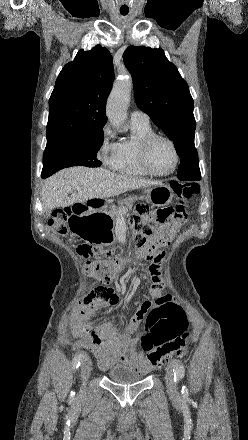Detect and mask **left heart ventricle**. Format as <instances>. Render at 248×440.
Instances as JSON below:
<instances>
[{"instance_id":"b2bd125f","label":"left heart ventricle","mask_w":248,"mask_h":440,"mask_svg":"<svg viewBox=\"0 0 248 440\" xmlns=\"http://www.w3.org/2000/svg\"><path fill=\"white\" fill-rule=\"evenodd\" d=\"M175 157L171 146L165 141H157L150 151V164L155 171L167 172L174 165Z\"/></svg>"}]
</instances>
